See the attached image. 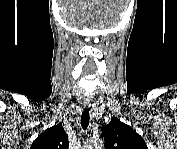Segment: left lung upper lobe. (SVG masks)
Instances as JSON below:
<instances>
[{
  "mask_svg": "<svg viewBox=\"0 0 177 149\" xmlns=\"http://www.w3.org/2000/svg\"><path fill=\"white\" fill-rule=\"evenodd\" d=\"M102 134L105 149H147L144 139L116 117L103 126Z\"/></svg>",
  "mask_w": 177,
  "mask_h": 149,
  "instance_id": "1",
  "label": "left lung upper lobe"
}]
</instances>
